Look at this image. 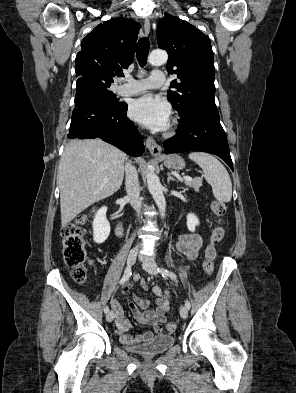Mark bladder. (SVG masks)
Returning a JSON list of instances; mask_svg holds the SVG:
<instances>
[{
  "label": "bladder",
  "mask_w": 296,
  "mask_h": 393,
  "mask_svg": "<svg viewBox=\"0 0 296 393\" xmlns=\"http://www.w3.org/2000/svg\"><path fill=\"white\" fill-rule=\"evenodd\" d=\"M175 343L173 335L157 334L148 342L140 345H124V348L130 352L141 356L149 357L164 353Z\"/></svg>",
  "instance_id": "bladder-1"
}]
</instances>
